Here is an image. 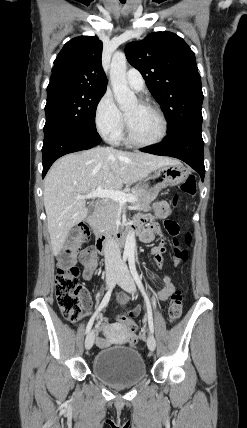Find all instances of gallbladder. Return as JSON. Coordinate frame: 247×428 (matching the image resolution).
<instances>
[{"mask_svg": "<svg viewBox=\"0 0 247 428\" xmlns=\"http://www.w3.org/2000/svg\"><path fill=\"white\" fill-rule=\"evenodd\" d=\"M87 208H88V213L91 214L93 212L94 205L93 204H88Z\"/></svg>", "mask_w": 247, "mask_h": 428, "instance_id": "gallbladder-1", "label": "gallbladder"}]
</instances>
